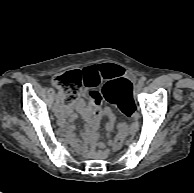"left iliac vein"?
Masks as SVG:
<instances>
[{"instance_id": "1", "label": "left iliac vein", "mask_w": 194, "mask_h": 193, "mask_svg": "<svg viewBox=\"0 0 194 193\" xmlns=\"http://www.w3.org/2000/svg\"><path fill=\"white\" fill-rule=\"evenodd\" d=\"M140 88H141V85H140V83H138V84L136 85V89L139 90Z\"/></svg>"}]
</instances>
